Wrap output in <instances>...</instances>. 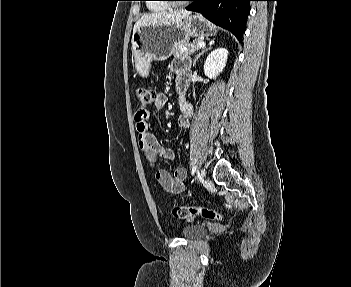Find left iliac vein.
<instances>
[{
	"label": "left iliac vein",
	"mask_w": 351,
	"mask_h": 287,
	"mask_svg": "<svg viewBox=\"0 0 351 287\" xmlns=\"http://www.w3.org/2000/svg\"><path fill=\"white\" fill-rule=\"evenodd\" d=\"M199 177H200L201 181H204V179H205V171L204 170L200 171Z\"/></svg>",
	"instance_id": "4c4485c4"
}]
</instances>
